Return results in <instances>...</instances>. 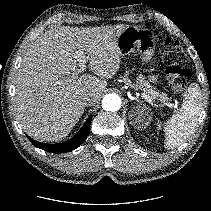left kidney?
<instances>
[{"instance_id": "left-kidney-1", "label": "left kidney", "mask_w": 211, "mask_h": 211, "mask_svg": "<svg viewBox=\"0 0 211 211\" xmlns=\"http://www.w3.org/2000/svg\"><path fill=\"white\" fill-rule=\"evenodd\" d=\"M148 114H146V116H144V123L141 124L142 127H146L149 124V120H150V116H147ZM160 128V125H159Z\"/></svg>"}]
</instances>
